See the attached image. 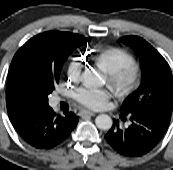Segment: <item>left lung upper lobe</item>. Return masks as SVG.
Instances as JSON below:
<instances>
[{
    "mask_svg": "<svg viewBox=\"0 0 173 170\" xmlns=\"http://www.w3.org/2000/svg\"><path fill=\"white\" fill-rule=\"evenodd\" d=\"M119 41L135 52L141 69L140 85L124 101L121 113L148 115L169 124L173 110V77L168 63L138 36L122 37Z\"/></svg>",
    "mask_w": 173,
    "mask_h": 170,
    "instance_id": "left-lung-upper-lobe-1",
    "label": "left lung upper lobe"
}]
</instances>
